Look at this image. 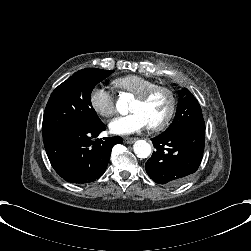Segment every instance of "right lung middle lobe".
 <instances>
[{
	"instance_id": "1",
	"label": "right lung middle lobe",
	"mask_w": 251,
	"mask_h": 251,
	"mask_svg": "<svg viewBox=\"0 0 251 251\" xmlns=\"http://www.w3.org/2000/svg\"><path fill=\"white\" fill-rule=\"evenodd\" d=\"M114 70L86 68L77 71L51 94L44 111L42 134L80 125L94 128L102 124L91 104V92L96 84Z\"/></svg>"
}]
</instances>
